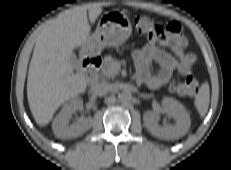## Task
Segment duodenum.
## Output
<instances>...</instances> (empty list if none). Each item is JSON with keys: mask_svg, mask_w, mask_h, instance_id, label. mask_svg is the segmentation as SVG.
Here are the masks:
<instances>
[{"mask_svg": "<svg viewBox=\"0 0 231 170\" xmlns=\"http://www.w3.org/2000/svg\"><path fill=\"white\" fill-rule=\"evenodd\" d=\"M102 65V58L98 55H86L82 60V68L90 85H93L96 80L97 71Z\"/></svg>", "mask_w": 231, "mask_h": 170, "instance_id": "1", "label": "duodenum"}]
</instances>
